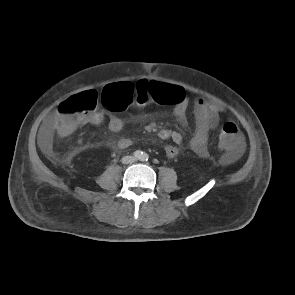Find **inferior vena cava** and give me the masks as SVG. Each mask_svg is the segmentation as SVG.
Masks as SVG:
<instances>
[{"instance_id": "1", "label": "inferior vena cava", "mask_w": 295, "mask_h": 295, "mask_svg": "<svg viewBox=\"0 0 295 295\" xmlns=\"http://www.w3.org/2000/svg\"><path fill=\"white\" fill-rule=\"evenodd\" d=\"M135 160L136 159L133 156H125L122 158V163L129 164V163H133Z\"/></svg>"}]
</instances>
